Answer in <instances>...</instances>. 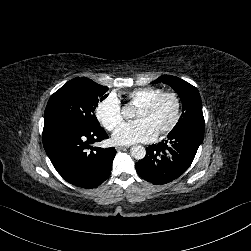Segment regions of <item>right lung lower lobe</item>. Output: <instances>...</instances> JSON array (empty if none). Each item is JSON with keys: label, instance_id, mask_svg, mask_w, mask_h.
Segmentation results:
<instances>
[{"label": "right lung lower lobe", "instance_id": "1", "mask_svg": "<svg viewBox=\"0 0 251 251\" xmlns=\"http://www.w3.org/2000/svg\"><path fill=\"white\" fill-rule=\"evenodd\" d=\"M107 138L99 124L82 126L56 118L45 120L42 134L44 149L57 172L82 188H95L110 176L115 148L90 146Z\"/></svg>", "mask_w": 251, "mask_h": 251}]
</instances>
